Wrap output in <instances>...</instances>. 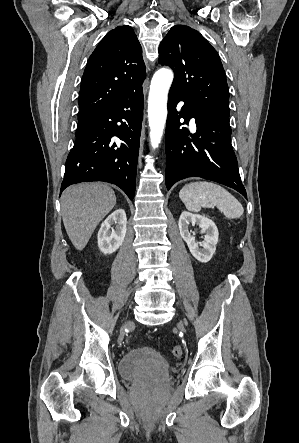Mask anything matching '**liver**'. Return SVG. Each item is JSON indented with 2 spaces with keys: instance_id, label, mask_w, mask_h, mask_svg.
<instances>
[{
  "instance_id": "obj_1",
  "label": "liver",
  "mask_w": 299,
  "mask_h": 443,
  "mask_svg": "<svg viewBox=\"0 0 299 443\" xmlns=\"http://www.w3.org/2000/svg\"><path fill=\"white\" fill-rule=\"evenodd\" d=\"M115 204L114 191L102 183L77 184L62 193L64 227L77 250L85 248L97 225Z\"/></svg>"
}]
</instances>
